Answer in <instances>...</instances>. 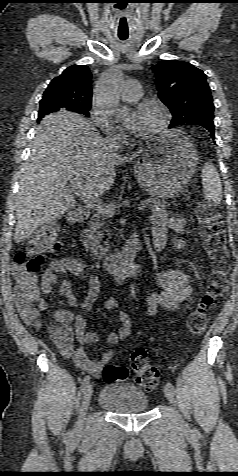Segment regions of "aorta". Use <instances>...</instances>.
I'll return each mask as SVG.
<instances>
[{"label": "aorta", "mask_w": 238, "mask_h": 476, "mask_svg": "<svg viewBox=\"0 0 238 476\" xmlns=\"http://www.w3.org/2000/svg\"><path fill=\"white\" fill-rule=\"evenodd\" d=\"M122 73L118 69L110 70L96 89V103L108 116L121 117L128 113V108L120 105V87Z\"/></svg>", "instance_id": "762f6f07"}]
</instances>
